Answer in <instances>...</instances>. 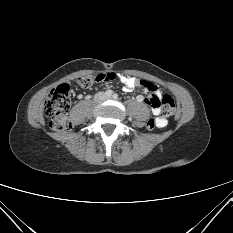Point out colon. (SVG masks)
<instances>
[{"instance_id":"colon-1","label":"colon","mask_w":233,"mask_h":233,"mask_svg":"<svg viewBox=\"0 0 233 233\" xmlns=\"http://www.w3.org/2000/svg\"><path fill=\"white\" fill-rule=\"evenodd\" d=\"M95 77L91 75L82 76L77 82L80 87L89 89L94 85V83L99 82ZM141 85L150 92H154L157 89L153 83L146 80L142 81ZM71 101L72 91L68 84H61L57 86L47 96L44 103V112L50 118V127L52 130L56 132H68L73 128V123L66 116V112L71 105ZM149 102L152 106L161 108L163 114L166 116L173 115L176 111L175 100L168 94H165L160 98L153 95ZM155 127V119H150L147 122V128L153 129Z\"/></svg>"}]
</instances>
